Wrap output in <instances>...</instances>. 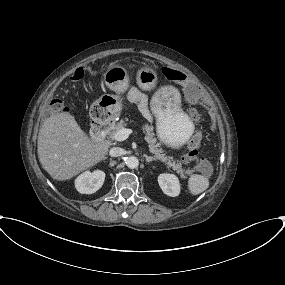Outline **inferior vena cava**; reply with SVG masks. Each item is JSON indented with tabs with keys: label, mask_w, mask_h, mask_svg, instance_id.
<instances>
[{
	"label": "inferior vena cava",
	"mask_w": 285,
	"mask_h": 285,
	"mask_svg": "<svg viewBox=\"0 0 285 285\" xmlns=\"http://www.w3.org/2000/svg\"><path fill=\"white\" fill-rule=\"evenodd\" d=\"M124 154V150L120 147H113L110 149L109 155L112 157H118Z\"/></svg>",
	"instance_id": "602c4592"
}]
</instances>
